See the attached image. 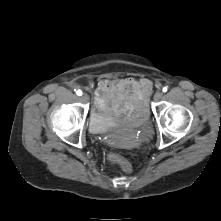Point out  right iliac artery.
<instances>
[{
	"instance_id": "right-iliac-artery-1",
	"label": "right iliac artery",
	"mask_w": 221,
	"mask_h": 221,
	"mask_svg": "<svg viewBox=\"0 0 221 221\" xmlns=\"http://www.w3.org/2000/svg\"><path fill=\"white\" fill-rule=\"evenodd\" d=\"M76 94H77L78 96H81V95H82V91H81V90H77V91H76Z\"/></svg>"
}]
</instances>
